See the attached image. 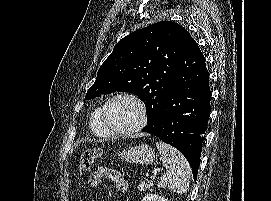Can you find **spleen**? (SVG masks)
<instances>
[{"mask_svg": "<svg viewBox=\"0 0 271 201\" xmlns=\"http://www.w3.org/2000/svg\"><path fill=\"white\" fill-rule=\"evenodd\" d=\"M162 164L166 172L160 178L159 186L168 188L172 192L184 194L190 184L191 168L183 154L173 146L157 141Z\"/></svg>", "mask_w": 271, "mask_h": 201, "instance_id": "3e777b00", "label": "spleen"}]
</instances>
